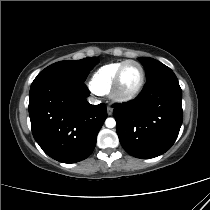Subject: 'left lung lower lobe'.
<instances>
[{
  "label": "left lung lower lobe",
  "mask_w": 210,
  "mask_h": 210,
  "mask_svg": "<svg viewBox=\"0 0 210 210\" xmlns=\"http://www.w3.org/2000/svg\"><path fill=\"white\" fill-rule=\"evenodd\" d=\"M181 101L177 77L168 70L147 80L133 101L114 105L117 134L125 151L142 159L165 153L182 124Z\"/></svg>",
  "instance_id": "left-lung-lower-lobe-1"
}]
</instances>
